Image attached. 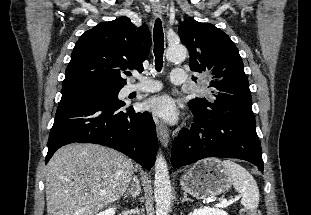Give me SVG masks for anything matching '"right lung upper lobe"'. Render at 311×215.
<instances>
[{
  "label": "right lung upper lobe",
  "instance_id": "1",
  "mask_svg": "<svg viewBox=\"0 0 311 215\" xmlns=\"http://www.w3.org/2000/svg\"><path fill=\"white\" fill-rule=\"evenodd\" d=\"M151 47L146 25L137 28L126 16L102 22L81 35L71 54L63 86L92 83L122 88L123 70L143 71Z\"/></svg>",
  "mask_w": 311,
  "mask_h": 215
}]
</instances>
